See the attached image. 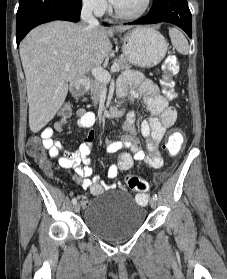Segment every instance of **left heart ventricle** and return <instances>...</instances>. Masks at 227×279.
<instances>
[{
    "instance_id": "left-heart-ventricle-1",
    "label": "left heart ventricle",
    "mask_w": 227,
    "mask_h": 279,
    "mask_svg": "<svg viewBox=\"0 0 227 279\" xmlns=\"http://www.w3.org/2000/svg\"><path fill=\"white\" fill-rule=\"evenodd\" d=\"M144 0H117L115 6L123 13L130 14L139 11Z\"/></svg>"
}]
</instances>
